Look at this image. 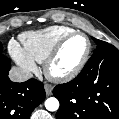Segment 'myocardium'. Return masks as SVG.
Masks as SVG:
<instances>
[{
	"label": "myocardium",
	"mask_w": 119,
	"mask_h": 119,
	"mask_svg": "<svg viewBox=\"0 0 119 119\" xmlns=\"http://www.w3.org/2000/svg\"><path fill=\"white\" fill-rule=\"evenodd\" d=\"M74 36H83L86 39L88 46H87L85 55L83 56L81 61L77 64V66L75 68H73L72 70H70L66 73H62V74L53 73L52 69H51L53 62L58 57V55H59L61 49L63 48V46L65 45V43ZM91 52H92V42H91L90 38L88 37V35L81 31H73V32L65 35L64 37H62L56 43V45L51 50V52L48 54V56L44 60V64H43L44 73L50 80L55 81V82L70 81V80L74 79L76 76H78L80 74V72L83 70V68L85 67V65L87 64V62L91 56Z\"/></svg>",
	"instance_id": "1"
}]
</instances>
